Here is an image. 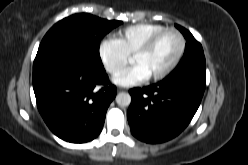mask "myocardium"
<instances>
[{
    "instance_id": "1",
    "label": "myocardium",
    "mask_w": 248,
    "mask_h": 165,
    "mask_svg": "<svg viewBox=\"0 0 248 165\" xmlns=\"http://www.w3.org/2000/svg\"><path fill=\"white\" fill-rule=\"evenodd\" d=\"M174 33L178 39H179V50L175 56V58L172 60V62L164 69L162 70L160 73L151 76L149 79L151 81H158L161 80L163 78H165L167 75H169L175 68L176 66L179 64V62L181 61L184 52H185V48H186V41L184 36L182 35V33L177 30L176 28L173 27H167L164 28L154 34H152L134 53L132 57L138 56V55H142L147 53L152 47L153 45L157 42V40L163 36L166 33Z\"/></svg>"
}]
</instances>
